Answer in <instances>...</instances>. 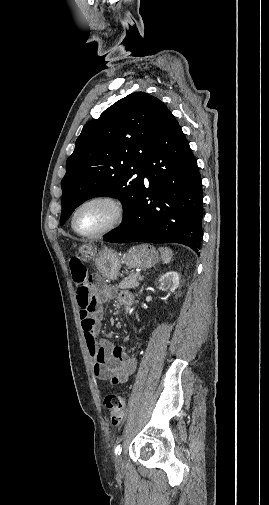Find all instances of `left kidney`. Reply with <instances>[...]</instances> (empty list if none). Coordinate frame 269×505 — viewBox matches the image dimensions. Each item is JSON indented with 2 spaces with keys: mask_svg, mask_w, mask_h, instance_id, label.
<instances>
[{
  "mask_svg": "<svg viewBox=\"0 0 269 505\" xmlns=\"http://www.w3.org/2000/svg\"><path fill=\"white\" fill-rule=\"evenodd\" d=\"M179 274L175 271L166 272L161 278L158 280L159 289L166 291L171 290L175 292L179 285Z\"/></svg>",
  "mask_w": 269,
  "mask_h": 505,
  "instance_id": "1",
  "label": "left kidney"
}]
</instances>
